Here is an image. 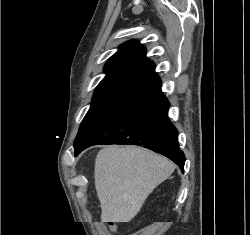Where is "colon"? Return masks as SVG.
Wrapping results in <instances>:
<instances>
[{
	"label": "colon",
	"instance_id": "obj_1",
	"mask_svg": "<svg viewBox=\"0 0 250 235\" xmlns=\"http://www.w3.org/2000/svg\"><path fill=\"white\" fill-rule=\"evenodd\" d=\"M109 226H110L112 229H114V227H115L114 223H109Z\"/></svg>",
	"mask_w": 250,
	"mask_h": 235
}]
</instances>
